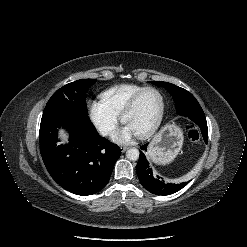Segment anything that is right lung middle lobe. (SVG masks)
Wrapping results in <instances>:
<instances>
[{
  "label": "right lung middle lobe",
  "mask_w": 247,
  "mask_h": 247,
  "mask_svg": "<svg viewBox=\"0 0 247 247\" xmlns=\"http://www.w3.org/2000/svg\"><path fill=\"white\" fill-rule=\"evenodd\" d=\"M96 79H80L58 89L49 99L46 106L63 105L76 111L88 113L86 92Z\"/></svg>",
  "instance_id": "right-lung-middle-lobe-1"
}]
</instances>
